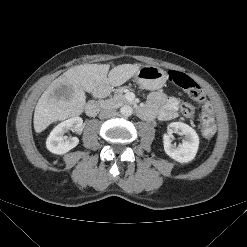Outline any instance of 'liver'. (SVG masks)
I'll list each match as a JSON object with an SVG mask.
<instances>
[{"mask_svg":"<svg viewBox=\"0 0 247 247\" xmlns=\"http://www.w3.org/2000/svg\"><path fill=\"white\" fill-rule=\"evenodd\" d=\"M109 64H84L70 68L44 91L34 111V129L44 131L50 124L82 114L85 92L103 85L120 86L133 77L140 65L122 64L109 71Z\"/></svg>","mask_w":247,"mask_h":247,"instance_id":"6515ba94","label":"liver"}]
</instances>
